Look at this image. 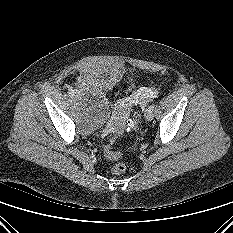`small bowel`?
<instances>
[{
  "instance_id": "obj_1",
  "label": "small bowel",
  "mask_w": 233,
  "mask_h": 233,
  "mask_svg": "<svg viewBox=\"0 0 233 233\" xmlns=\"http://www.w3.org/2000/svg\"><path fill=\"white\" fill-rule=\"evenodd\" d=\"M144 102V95L138 94V95H132L124 99L121 103V109L127 108L129 106L135 105L137 103Z\"/></svg>"
}]
</instances>
